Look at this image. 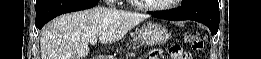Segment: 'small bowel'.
I'll use <instances>...</instances> for the list:
<instances>
[{"mask_svg": "<svg viewBox=\"0 0 261 59\" xmlns=\"http://www.w3.org/2000/svg\"><path fill=\"white\" fill-rule=\"evenodd\" d=\"M159 52H160L159 50H155V51L149 56V58H150V59H158V58H160V57L157 55Z\"/></svg>", "mask_w": 261, "mask_h": 59, "instance_id": "obj_1", "label": "small bowel"}]
</instances>
